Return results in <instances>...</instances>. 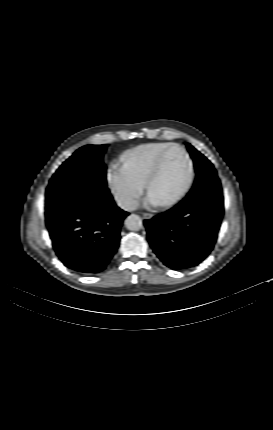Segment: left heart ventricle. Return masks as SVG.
Masks as SVG:
<instances>
[{
  "mask_svg": "<svg viewBox=\"0 0 273 430\" xmlns=\"http://www.w3.org/2000/svg\"><path fill=\"white\" fill-rule=\"evenodd\" d=\"M187 176L188 163L184 154L178 149H173L166 154L161 171L151 184L149 193L160 203H164L180 191Z\"/></svg>",
  "mask_w": 273,
  "mask_h": 430,
  "instance_id": "1",
  "label": "left heart ventricle"
}]
</instances>
